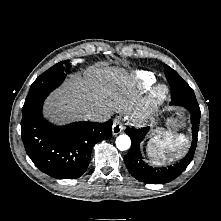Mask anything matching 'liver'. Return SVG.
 <instances>
[{
    "label": "liver",
    "mask_w": 221,
    "mask_h": 221,
    "mask_svg": "<svg viewBox=\"0 0 221 221\" xmlns=\"http://www.w3.org/2000/svg\"><path fill=\"white\" fill-rule=\"evenodd\" d=\"M134 82L122 69L90 66L74 75L45 102V114L58 123L89 119L95 112L99 121L108 119L113 111L130 109Z\"/></svg>",
    "instance_id": "liver-1"
}]
</instances>
